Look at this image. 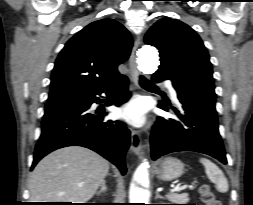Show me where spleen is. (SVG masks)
<instances>
[{
	"instance_id": "obj_1",
	"label": "spleen",
	"mask_w": 253,
	"mask_h": 205,
	"mask_svg": "<svg viewBox=\"0 0 253 205\" xmlns=\"http://www.w3.org/2000/svg\"><path fill=\"white\" fill-rule=\"evenodd\" d=\"M199 161L205 167V173L209 180L215 184L216 189L222 193L227 192L229 185L222 170H220L216 164L206 158H200Z\"/></svg>"
}]
</instances>
